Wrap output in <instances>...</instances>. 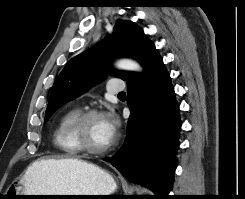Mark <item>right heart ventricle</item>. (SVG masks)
<instances>
[{
  "label": "right heart ventricle",
  "mask_w": 245,
  "mask_h": 199,
  "mask_svg": "<svg viewBox=\"0 0 245 199\" xmlns=\"http://www.w3.org/2000/svg\"><path fill=\"white\" fill-rule=\"evenodd\" d=\"M79 113L80 111L76 108L65 112L60 118L53 133L56 147L68 156H75L80 153V150L75 145L70 135L71 122Z\"/></svg>",
  "instance_id": "1"
}]
</instances>
